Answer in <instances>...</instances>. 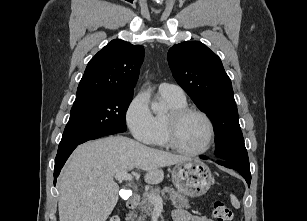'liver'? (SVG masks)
I'll use <instances>...</instances> for the list:
<instances>
[{"mask_svg": "<svg viewBox=\"0 0 307 221\" xmlns=\"http://www.w3.org/2000/svg\"><path fill=\"white\" fill-rule=\"evenodd\" d=\"M186 160L123 136L81 144L58 178L59 221H106L118 201L116 174L138 168L146 172V183L157 184L163 167Z\"/></svg>", "mask_w": 307, "mask_h": 221, "instance_id": "obj_1", "label": "liver"}]
</instances>
